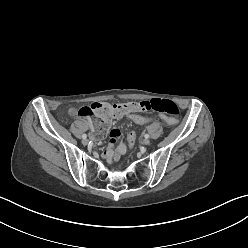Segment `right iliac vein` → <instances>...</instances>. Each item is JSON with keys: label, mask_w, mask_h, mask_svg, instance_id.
Here are the masks:
<instances>
[{"label": "right iliac vein", "mask_w": 248, "mask_h": 248, "mask_svg": "<svg viewBox=\"0 0 248 248\" xmlns=\"http://www.w3.org/2000/svg\"><path fill=\"white\" fill-rule=\"evenodd\" d=\"M82 143H83V145H87L88 144V140L87 139H83L82 140Z\"/></svg>", "instance_id": "63e3f726"}]
</instances>
